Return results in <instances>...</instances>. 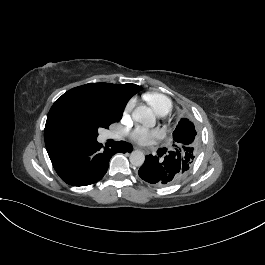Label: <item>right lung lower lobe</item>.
Wrapping results in <instances>:
<instances>
[{
    "label": "right lung lower lobe",
    "mask_w": 265,
    "mask_h": 265,
    "mask_svg": "<svg viewBox=\"0 0 265 265\" xmlns=\"http://www.w3.org/2000/svg\"><path fill=\"white\" fill-rule=\"evenodd\" d=\"M97 140L74 146L51 160L61 179L72 186H86L99 181L107 172L111 157L131 152L130 143L116 142L112 148L102 149Z\"/></svg>",
    "instance_id": "1"
}]
</instances>
